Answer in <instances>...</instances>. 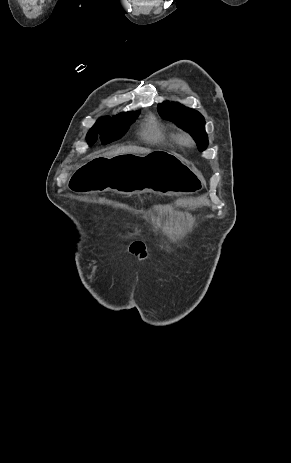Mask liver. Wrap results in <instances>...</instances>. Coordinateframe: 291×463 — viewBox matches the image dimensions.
<instances>
[{"mask_svg":"<svg viewBox=\"0 0 291 463\" xmlns=\"http://www.w3.org/2000/svg\"><path fill=\"white\" fill-rule=\"evenodd\" d=\"M151 149L138 146H123L103 154L104 158L110 159L123 154H147Z\"/></svg>","mask_w":291,"mask_h":463,"instance_id":"6515ba94","label":"liver"}]
</instances>
